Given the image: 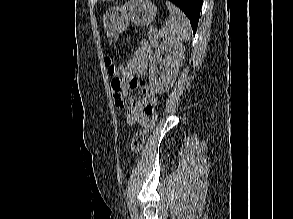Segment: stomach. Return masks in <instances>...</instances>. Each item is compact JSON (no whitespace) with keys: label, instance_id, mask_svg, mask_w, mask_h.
Returning <instances> with one entry per match:
<instances>
[{"label":"stomach","instance_id":"stomach-1","mask_svg":"<svg viewBox=\"0 0 293 219\" xmlns=\"http://www.w3.org/2000/svg\"><path fill=\"white\" fill-rule=\"evenodd\" d=\"M157 14V7L149 0H129L121 7H112L102 15L103 28L109 39L125 31L129 22L137 26H148Z\"/></svg>","mask_w":293,"mask_h":219}]
</instances>
